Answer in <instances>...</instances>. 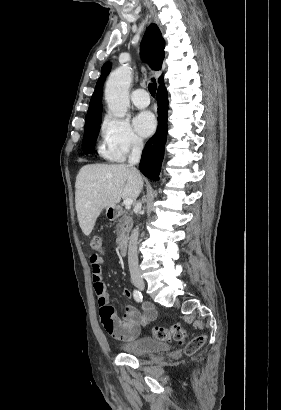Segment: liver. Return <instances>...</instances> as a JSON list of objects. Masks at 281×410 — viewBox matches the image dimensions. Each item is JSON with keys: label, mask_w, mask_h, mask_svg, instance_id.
I'll return each mask as SVG.
<instances>
[{"label": "liver", "mask_w": 281, "mask_h": 410, "mask_svg": "<svg viewBox=\"0 0 281 410\" xmlns=\"http://www.w3.org/2000/svg\"><path fill=\"white\" fill-rule=\"evenodd\" d=\"M143 187L140 173L124 164H87L75 183V204L82 232L89 236L104 208L120 200H136Z\"/></svg>", "instance_id": "1"}]
</instances>
